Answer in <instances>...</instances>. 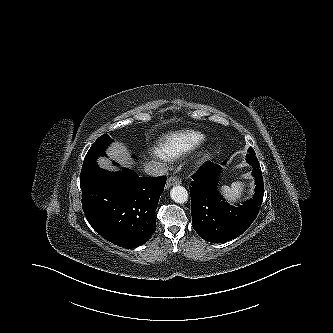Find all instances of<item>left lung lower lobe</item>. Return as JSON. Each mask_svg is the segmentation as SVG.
Wrapping results in <instances>:
<instances>
[{"mask_svg":"<svg viewBox=\"0 0 333 333\" xmlns=\"http://www.w3.org/2000/svg\"><path fill=\"white\" fill-rule=\"evenodd\" d=\"M247 161L260 165L252 152L247 154ZM219 170V165L207 162L192 177L190 186L192 226L201 238L213 243L227 242L246 231L258 215L264 196L261 170L254 169L253 198L238 207L229 205L216 189Z\"/></svg>","mask_w":333,"mask_h":333,"instance_id":"obj_1","label":"left lung lower lobe"}]
</instances>
